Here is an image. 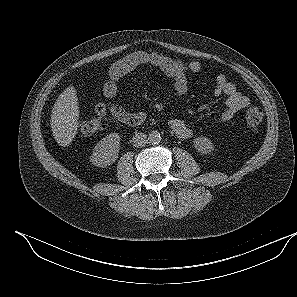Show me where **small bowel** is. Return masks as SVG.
<instances>
[{
	"mask_svg": "<svg viewBox=\"0 0 297 297\" xmlns=\"http://www.w3.org/2000/svg\"><path fill=\"white\" fill-rule=\"evenodd\" d=\"M140 66L157 68L172 78L175 92L178 95L185 94L188 89L187 75L197 73L202 69L199 61L187 63L160 52H133L117 60L109 68V79L103 85L104 96L107 99L114 98L118 93V80ZM214 94L225 97V109L220 115L223 122L231 120L238 111L250 104L249 98L238 91L236 86L222 74L216 78ZM96 112L98 115L110 113L117 121L127 125H138L147 117L144 112L130 113L119 105L105 102L96 105ZM168 125L179 139L187 140L193 136V130L179 118L169 119Z\"/></svg>",
	"mask_w": 297,
	"mask_h": 297,
	"instance_id": "1",
	"label": "small bowel"
}]
</instances>
